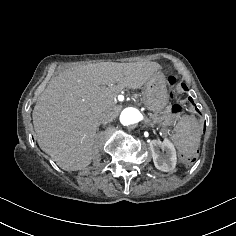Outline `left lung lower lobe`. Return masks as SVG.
Segmentation results:
<instances>
[{
	"mask_svg": "<svg viewBox=\"0 0 236 236\" xmlns=\"http://www.w3.org/2000/svg\"><path fill=\"white\" fill-rule=\"evenodd\" d=\"M182 87L185 89V90H187V87H186V85L185 84H182ZM189 100L193 103V100H192V98H189ZM196 110H197V108H196ZM206 127V125H204V128Z\"/></svg>",
	"mask_w": 236,
	"mask_h": 236,
	"instance_id": "obj_1",
	"label": "left lung lower lobe"
}]
</instances>
